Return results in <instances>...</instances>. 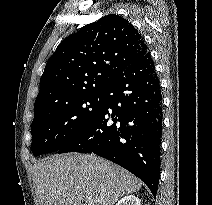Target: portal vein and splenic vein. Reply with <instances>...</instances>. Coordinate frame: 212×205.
Instances as JSON below:
<instances>
[{
	"instance_id": "1",
	"label": "portal vein and splenic vein",
	"mask_w": 212,
	"mask_h": 205,
	"mask_svg": "<svg viewBox=\"0 0 212 205\" xmlns=\"http://www.w3.org/2000/svg\"><path fill=\"white\" fill-rule=\"evenodd\" d=\"M87 202L89 203L90 202V199H87Z\"/></svg>"
}]
</instances>
